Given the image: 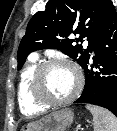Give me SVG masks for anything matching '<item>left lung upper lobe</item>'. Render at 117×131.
Segmentation results:
<instances>
[{"mask_svg":"<svg viewBox=\"0 0 117 131\" xmlns=\"http://www.w3.org/2000/svg\"><path fill=\"white\" fill-rule=\"evenodd\" d=\"M111 6V0H49L45 10L38 11L28 23L18 48V70L31 52L48 48L60 50L84 68ZM71 33L79 37L69 39ZM84 39L89 42L86 49L78 44Z\"/></svg>","mask_w":117,"mask_h":131,"instance_id":"5c2ea615","label":"left lung upper lobe"}]
</instances>
